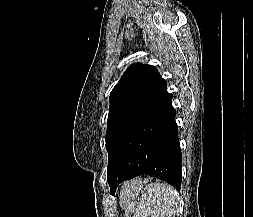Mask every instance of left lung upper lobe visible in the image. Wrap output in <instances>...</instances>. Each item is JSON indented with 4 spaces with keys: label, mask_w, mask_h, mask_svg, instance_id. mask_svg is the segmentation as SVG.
<instances>
[{
    "label": "left lung upper lobe",
    "mask_w": 253,
    "mask_h": 217,
    "mask_svg": "<svg viewBox=\"0 0 253 217\" xmlns=\"http://www.w3.org/2000/svg\"><path fill=\"white\" fill-rule=\"evenodd\" d=\"M166 87V81L154 66L133 64L111 91L106 133L108 177L123 137L135 121L167 93Z\"/></svg>",
    "instance_id": "1"
}]
</instances>
